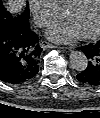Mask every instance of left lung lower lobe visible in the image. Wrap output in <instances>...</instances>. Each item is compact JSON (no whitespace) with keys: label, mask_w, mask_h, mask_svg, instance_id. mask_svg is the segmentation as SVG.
<instances>
[{"label":"left lung lower lobe","mask_w":100,"mask_h":118,"mask_svg":"<svg viewBox=\"0 0 100 118\" xmlns=\"http://www.w3.org/2000/svg\"><path fill=\"white\" fill-rule=\"evenodd\" d=\"M88 59L87 68L76 78L88 86H100V40L79 48Z\"/></svg>","instance_id":"1"}]
</instances>
